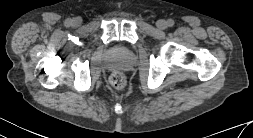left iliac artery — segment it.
<instances>
[{
	"mask_svg": "<svg viewBox=\"0 0 253 138\" xmlns=\"http://www.w3.org/2000/svg\"><path fill=\"white\" fill-rule=\"evenodd\" d=\"M167 25L169 27H172L174 25V21L172 19H169L168 22H167Z\"/></svg>",
	"mask_w": 253,
	"mask_h": 138,
	"instance_id": "left-iliac-artery-1",
	"label": "left iliac artery"
}]
</instances>
